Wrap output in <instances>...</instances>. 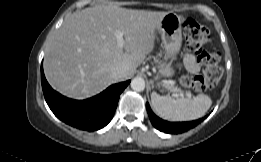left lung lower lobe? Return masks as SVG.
Returning a JSON list of instances; mask_svg holds the SVG:
<instances>
[{"label": "left lung lower lobe", "instance_id": "obj_1", "mask_svg": "<svg viewBox=\"0 0 261 162\" xmlns=\"http://www.w3.org/2000/svg\"><path fill=\"white\" fill-rule=\"evenodd\" d=\"M146 108L152 125L161 132L169 134L183 133L191 128H194L204 120V118H201L190 122H168L157 117L152 112L148 103H146Z\"/></svg>", "mask_w": 261, "mask_h": 162}]
</instances>
